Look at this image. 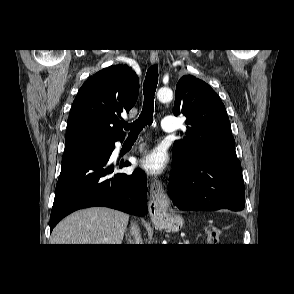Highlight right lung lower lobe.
<instances>
[{
	"mask_svg": "<svg viewBox=\"0 0 294 294\" xmlns=\"http://www.w3.org/2000/svg\"><path fill=\"white\" fill-rule=\"evenodd\" d=\"M122 140V139H121ZM74 152L62 157L50 216V231L68 214L82 208L105 206L135 215L147 213V180L137 169L132 174L114 173L129 162L110 164L115 148Z\"/></svg>",
	"mask_w": 294,
	"mask_h": 294,
	"instance_id": "right-lung-lower-lobe-1",
	"label": "right lung lower lobe"
}]
</instances>
